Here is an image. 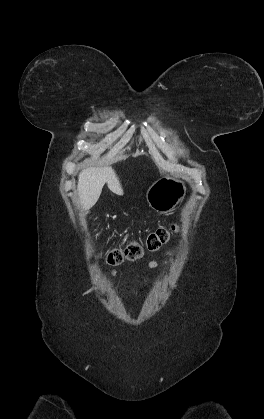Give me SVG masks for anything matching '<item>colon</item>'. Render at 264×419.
Here are the masks:
<instances>
[{
    "label": "colon",
    "instance_id": "colon-1",
    "mask_svg": "<svg viewBox=\"0 0 264 419\" xmlns=\"http://www.w3.org/2000/svg\"><path fill=\"white\" fill-rule=\"evenodd\" d=\"M174 230V227H172ZM170 230L165 227H159L151 231L145 239V248L149 251H157L169 239ZM144 247L136 242L129 243L124 248H114L106 255V260L110 265H118L124 259L135 260L142 256Z\"/></svg>",
    "mask_w": 264,
    "mask_h": 419
}]
</instances>
